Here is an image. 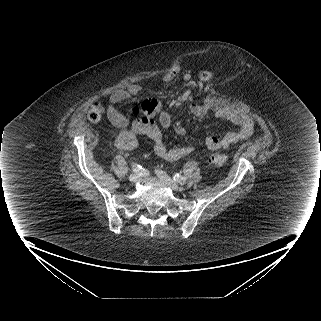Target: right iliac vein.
Returning a JSON list of instances; mask_svg holds the SVG:
<instances>
[{
  "mask_svg": "<svg viewBox=\"0 0 321 321\" xmlns=\"http://www.w3.org/2000/svg\"><path fill=\"white\" fill-rule=\"evenodd\" d=\"M139 179H140L139 173H133L129 176V181L133 184L136 183Z\"/></svg>",
  "mask_w": 321,
  "mask_h": 321,
  "instance_id": "1",
  "label": "right iliac vein"
}]
</instances>
